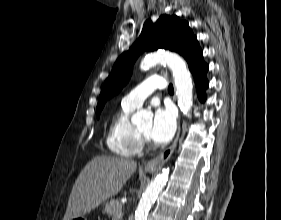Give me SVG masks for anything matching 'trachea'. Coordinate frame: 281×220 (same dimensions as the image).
<instances>
[{
  "instance_id": "obj_1",
  "label": "trachea",
  "mask_w": 281,
  "mask_h": 220,
  "mask_svg": "<svg viewBox=\"0 0 281 220\" xmlns=\"http://www.w3.org/2000/svg\"><path fill=\"white\" fill-rule=\"evenodd\" d=\"M168 92H169V93H174V88H173V85H172V84H169V86H168Z\"/></svg>"
}]
</instances>
